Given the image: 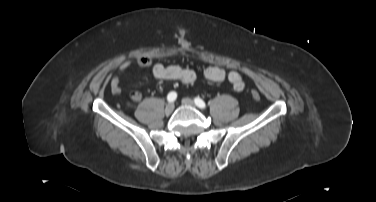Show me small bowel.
<instances>
[{
  "instance_id": "c3829d8e",
  "label": "small bowel",
  "mask_w": 376,
  "mask_h": 202,
  "mask_svg": "<svg viewBox=\"0 0 376 202\" xmlns=\"http://www.w3.org/2000/svg\"><path fill=\"white\" fill-rule=\"evenodd\" d=\"M133 64H136L139 67L149 68L152 75L160 80H171L183 84H191L197 78V73L193 69L181 67L179 65H164L161 63L153 64L149 57L139 56L134 62L128 60L120 64L116 74L110 81L112 94L120 95L122 93L120 75L130 69ZM202 75L205 79L212 82L219 83L228 80L236 92H242L244 90V82L241 75L234 71L227 73L221 66H209L202 71ZM129 98L132 102H139L142 99V94L139 91H132Z\"/></svg>"
}]
</instances>
